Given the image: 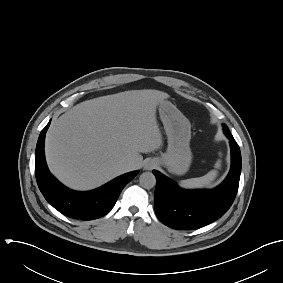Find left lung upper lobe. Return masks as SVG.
I'll return each instance as SVG.
<instances>
[{"instance_id": "5c2ea615", "label": "left lung upper lobe", "mask_w": 283, "mask_h": 283, "mask_svg": "<svg viewBox=\"0 0 283 283\" xmlns=\"http://www.w3.org/2000/svg\"><path fill=\"white\" fill-rule=\"evenodd\" d=\"M224 133L227 134V133H230L228 127L226 125H224Z\"/></svg>"}]
</instances>
